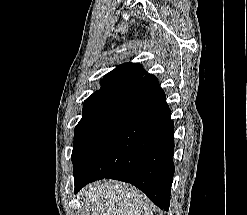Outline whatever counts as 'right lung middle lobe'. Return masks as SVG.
<instances>
[{"instance_id": "right-lung-middle-lobe-1", "label": "right lung middle lobe", "mask_w": 247, "mask_h": 215, "mask_svg": "<svg viewBox=\"0 0 247 215\" xmlns=\"http://www.w3.org/2000/svg\"><path fill=\"white\" fill-rule=\"evenodd\" d=\"M125 92L126 89L97 91L85 100L82 119L75 127L72 161L90 129L117 103Z\"/></svg>"}]
</instances>
